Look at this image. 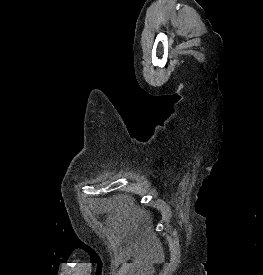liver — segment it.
Listing matches in <instances>:
<instances>
[{
  "label": "liver",
  "mask_w": 263,
  "mask_h": 275,
  "mask_svg": "<svg viewBox=\"0 0 263 275\" xmlns=\"http://www.w3.org/2000/svg\"><path fill=\"white\" fill-rule=\"evenodd\" d=\"M101 203L107 205L109 210L116 213L118 221L129 223H135L142 218L147 217L144 210H141L133 205L131 198L123 195L114 196L111 200L103 199Z\"/></svg>",
  "instance_id": "1"
}]
</instances>
